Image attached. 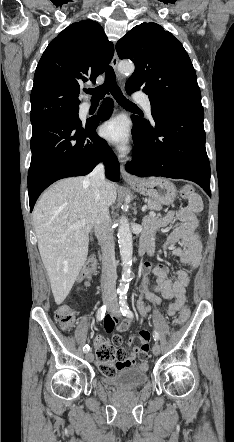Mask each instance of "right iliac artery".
<instances>
[{"instance_id":"right-iliac-artery-1","label":"right iliac artery","mask_w":234,"mask_h":442,"mask_svg":"<svg viewBox=\"0 0 234 442\" xmlns=\"http://www.w3.org/2000/svg\"><path fill=\"white\" fill-rule=\"evenodd\" d=\"M105 312H106V306L103 305V306L100 307L99 310L97 311V319H98V320H102V319L104 318V316H105ZM89 349H90L89 345H85V346L83 347V351H84L85 353H87V352L89 351Z\"/></svg>"}]
</instances>
